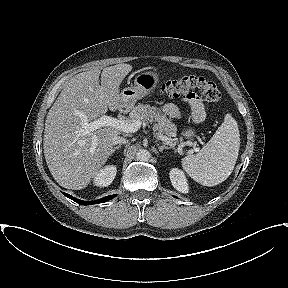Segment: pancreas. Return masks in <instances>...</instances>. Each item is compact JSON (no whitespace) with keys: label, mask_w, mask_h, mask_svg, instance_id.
Returning <instances> with one entry per match:
<instances>
[{"label":"pancreas","mask_w":288,"mask_h":288,"mask_svg":"<svg viewBox=\"0 0 288 288\" xmlns=\"http://www.w3.org/2000/svg\"><path fill=\"white\" fill-rule=\"evenodd\" d=\"M135 120H139L142 124L157 122L158 131L164 137L171 138L176 136V125L154 106L151 107L150 105L142 104L135 106L129 113V117L126 121L132 122Z\"/></svg>","instance_id":"obj_1"}]
</instances>
